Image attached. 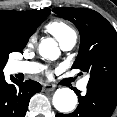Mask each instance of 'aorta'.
<instances>
[{
	"instance_id": "1",
	"label": "aorta",
	"mask_w": 117,
	"mask_h": 117,
	"mask_svg": "<svg viewBox=\"0 0 117 117\" xmlns=\"http://www.w3.org/2000/svg\"><path fill=\"white\" fill-rule=\"evenodd\" d=\"M39 53L43 57L55 60L59 57L60 50L53 39L47 38L41 41ZM52 103L59 112L70 113L77 105V96L69 88H60L55 91Z\"/></svg>"
}]
</instances>
